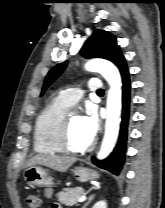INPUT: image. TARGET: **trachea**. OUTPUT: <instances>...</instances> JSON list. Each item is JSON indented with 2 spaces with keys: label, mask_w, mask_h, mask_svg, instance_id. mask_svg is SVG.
I'll use <instances>...</instances> for the list:
<instances>
[{
  "label": "trachea",
  "mask_w": 165,
  "mask_h": 208,
  "mask_svg": "<svg viewBox=\"0 0 165 208\" xmlns=\"http://www.w3.org/2000/svg\"><path fill=\"white\" fill-rule=\"evenodd\" d=\"M97 93H98V94H103V93H104V90L101 89V90H99Z\"/></svg>",
  "instance_id": "obj_1"
}]
</instances>
